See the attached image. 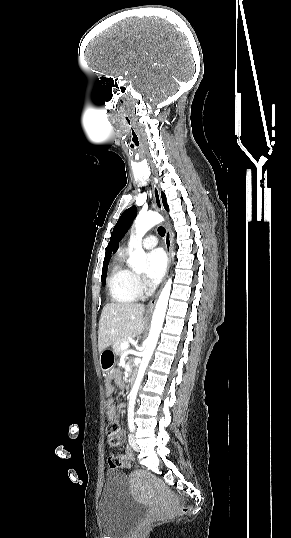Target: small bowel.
<instances>
[{
	"instance_id": "small-bowel-1",
	"label": "small bowel",
	"mask_w": 291,
	"mask_h": 538,
	"mask_svg": "<svg viewBox=\"0 0 291 538\" xmlns=\"http://www.w3.org/2000/svg\"><path fill=\"white\" fill-rule=\"evenodd\" d=\"M113 380L119 388H123L125 386V381L120 375L115 374L113 377ZM113 392H114V386L113 384H111V380L109 379L105 386V393L109 397L106 404V413H107V417L111 420H115L117 418V409H116L113 399L111 398ZM121 442L118 445H120ZM118 458L122 460H131L133 458V452L129 447H127L125 449V453L119 456ZM108 462H109V459H108ZM109 465L111 468H115V466L111 465L110 462H109Z\"/></svg>"
}]
</instances>
